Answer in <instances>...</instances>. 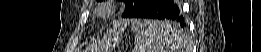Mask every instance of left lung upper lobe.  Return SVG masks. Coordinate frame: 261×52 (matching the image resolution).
<instances>
[{
  "instance_id": "5c2ea615",
  "label": "left lung upper lobe",
  "mask_w": 261,
  "mask_h": 52,
  "mask_svg": "<svg viewBox=\"0 0 261 52\" xmlns=\"http://www.w3.org/2000/svg\"><path fill=\"white\" fill-rule=\"evenodd\" d=\"M153 1L154 0H125L126 9L122 16L126 18L136 17L144 8L150 5Z\"/></svg>"
}]
</instances>
